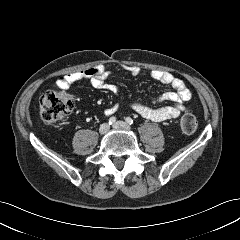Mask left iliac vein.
I'll return each mask as SVG.
<instances>
[{
	"instance_id": "1",
	"label": "left iliac vein",
	"mask_w": 240,
	"mask_h": 240,
	"mask_svg": "<svg viewBox=\"0 0 240 240\" xmlns=\"http://www.w3.org/2000/svg\"><path fill=\"white\" fill-rule=\"evenodd\" d=\"M114 128L116 129H124V130H129L130 127L128 124H126L125 122L123 121H117L114 125H113Z\"/></svg>"
}]
</instances>
